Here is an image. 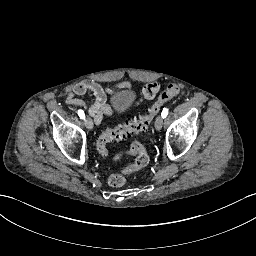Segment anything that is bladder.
<instances>
[{
  "instance_id": "bladder-1",
  "label": "bladder",
  "mask_w": 256,
  "mask_h": 256,
  "mask_svg": "<svg viewBox=\"0 0 256 256\" xmlns=\"http://www.w3.org/2000/svg\"><path fill=\"white\" fill-rule=\"evenodd\" d=\"M128 101H129V99L126 98L125 96L119 98L114 105V109L116 111H118L119 113L122 112L124 110L125 106L128 104Z\"/></svg>"
}]
</instances>
